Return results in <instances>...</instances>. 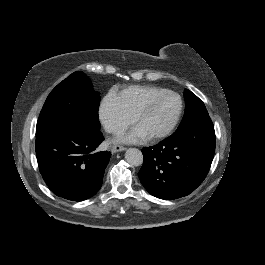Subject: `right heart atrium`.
Here are the masks:
<instances>
[{"label":"right heart atrium","instance_id":"d8ad5b80","mask_svg":"<svg viewBox=\"0 0 265 265\" xmlns=\"http://www.w3.org/2000/svg\"><path fill=\"white\" fill-rule=\"evenodd\" d=\"M99 118L104 130L110 134L123 132L134 121V117L127 114L113 96L103 100Z\"/></svg>","mask_w":265,"mask_h":265}]
</instances>
